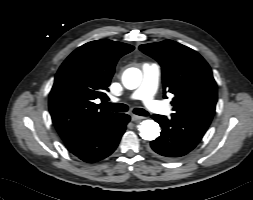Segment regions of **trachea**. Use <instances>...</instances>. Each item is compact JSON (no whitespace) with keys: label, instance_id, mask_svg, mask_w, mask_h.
Listing matches in <instances>:
<instances>
[{"label":"trachea","instance_id":"trachea-1","mask_svg":"<svg viewBox=\"0 0 253 200\" xmlns=\"http://www.w3.org/2000/svg\"><path fill=\"white\" fill-rule=\"evenodd\" d=\"M103 106L114 111V112H127L128 111V106L125 104H121V103L104 102ZM133 112L139 116H148L149 115V113L142 108H135L133 110Z\"/></svg>","mask_w":253,"mask_h":200}]
</instances>
